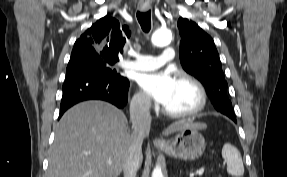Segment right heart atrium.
<instances>
[{
  "label": "right heart atrium",
  "instance_id": "d8ad5b80",
  "mask_svg": "<svg viewBox=\"0 0 287 177\" xmlns=\"http://www.w3.org/2000/svg\"><path fill=\"white\" fill-rule=\"evenodd\" d=\"M151 108V102L142 92H136L132 99V110L137 114L147 113Z\"/></svg>",
  "mask_w": 287,
  "mask_h": 177
}]
</instances>
